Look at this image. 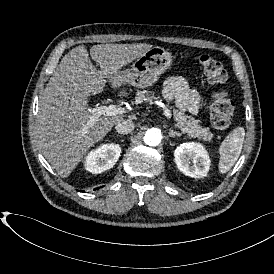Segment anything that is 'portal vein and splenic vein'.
<instances>
[{"label":"portal vein and splenic vein","instance_id":"obj_1","mask_svg":"<svg viewBox=\"0 0 274 274\" xmlns=\"http://www.w3.org/2000/svg\"><path fill=\"white\" fill-rule=\"evenodd\" d=\"M156 104L164 110L166 118L170 120L172 118V113L167 108V106L160 101H156ZM86 112L91 114V117L87 122V125H90V123H94L97 118L101 116H115L117 114H120L122 112V109L117 107L116 105L106 106L101 104L93 108L87 107Z\"/></svg>","mask_w":274,"mask_h":274}]
</instances>
